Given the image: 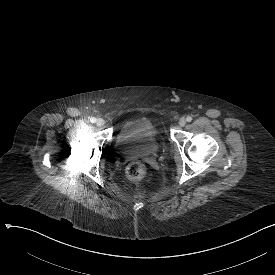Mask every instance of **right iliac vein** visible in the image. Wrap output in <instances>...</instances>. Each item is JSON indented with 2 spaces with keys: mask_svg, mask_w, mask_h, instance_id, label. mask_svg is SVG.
I'll return each mask as SVG.
<instances>
[{
  "mask_svg": "<svg viewBox=\"0 0 275 275\" xmlns=\"http://www.w3.org/2000/svg\"><path fill=\"white\" fill-rule=\"evenodd\" d=\"M97 125H98V126L104 125V121H103L102 119H99V120L97 121Z\"/></svg>",
  "mask_w": 275,
  "mask_h": 275,
  "instance_id": "63e3f726",
  "label": "right iliac vein"
}]
</instances>
